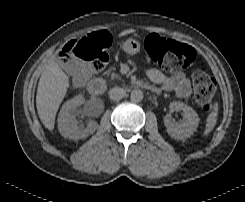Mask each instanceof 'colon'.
Listing matches in <instances>:
<instances>
[{
	"mask_svg": "<svg viewBox=\"0 0 245 202\" xmlns=\"http://www.w3.org/2000/svg\"><path fill=\"white\" fill-rule=\"evenodd\" d=\"M111 39L108 35L97 33L68 42L60 53L74 78L79 77L84 68L79 62L87 63L89 71L102 69L109 61ZM145 50L149 59L167 72H176L189 68L197 58L195 49L185 43L161 40L149 35L145 40ZM194 99L204 112H210L216 90V80L208 73L197 69L193 73Z\"/></svg>",
	"mask_w": 245,
	"mask_h": 202,
	"instance_id": "5ec220e1",
	"label": "colon"
}]
</instances>
